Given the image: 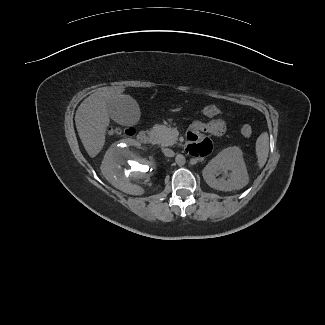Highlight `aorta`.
I'll return each mask as SVG.
<instances>
[{"instance_id": "aorta-1", "label": "aorta", "mask_w": 325, "mask_h": 325, "mask_svg": "<svg viewBox=\"0 0 325 325\" xmlns=\"http://www.w3.org/2000/svg\"><path fill=\"white\" fill-rule=\"evenodd\" d=\"M175 161L178 165L182 166L185 164L186 162V159H185V156L182 155V154H178L175 158Z\"/></svg>"}]
</instances>
